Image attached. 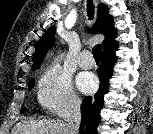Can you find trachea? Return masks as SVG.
I'll return each mask as SVG.
<instances>
[{"instance_id": "trachea-1", "label": "trachea", "mask_w": 153, "mask_h": 134, "mask_svg": "<svg viewBox=\"0 0 153 134\" xmlns=\"http://www.w3.org/2000/svg\"><path fill=\"white\" fill-rule=\"evenodd\" d=\"M87 13H88L89 19L91 20L94 15V5L92 3V0H88L87 2ZM101 52H102V46L100 44H97L93 47L92 54L96 61L101 59Z\"/></svg>"}]
</instances>
